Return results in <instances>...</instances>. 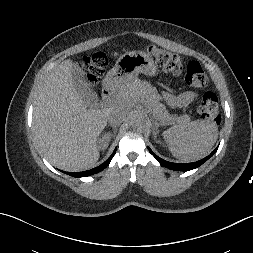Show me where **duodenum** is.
Wrapping results in <instances>:
<instances>
[{
	"mask_svg": "<svg viewBox=\"0 0 253 253\" xmlns=\"http://www.w3.org/2000/svg\"><path fill=\"white\" fill-rule=\"evenodd\" d=\"M114 95V85H113V80L108 79L105 81L103 85V90H102V99L106 104H110Z\"/></svg>",
	"mask_w": 253,
	"mask_h": 253,
	"instance_id": "duodenum-1",
	"label": "duodenum"
}]
</instances>
